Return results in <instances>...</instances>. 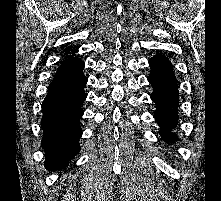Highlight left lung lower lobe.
I'll return each instance as SVG.
<instances>
[{"label":"left lung lower lobe","instance_id":"0a47b994","mask_svg":"<svg viewBox=\"0 0 221 201\" xmlns=\"http://www.w3.org/2000/svg\"><path fill=\"white\" fill-rule=\"evenodd\" d=\"M151 67L147 77L153 87L152 101L156 104L155 120L160 126V135L167 142H174L177 138L171 130L178 121L177 107L179 105L178 84L169 59L157 54L149 60Z\"/></svg>","mask_w":221,"mask_h":201}]
</instances>
